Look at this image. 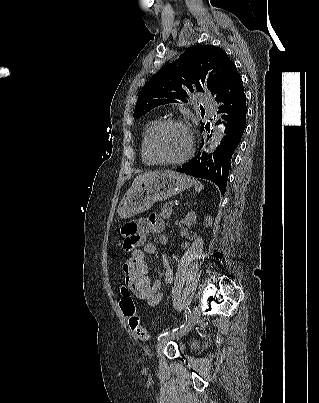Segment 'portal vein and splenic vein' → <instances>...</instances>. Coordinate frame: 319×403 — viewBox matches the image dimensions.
I'll return each instance as SVG.
<instances>
[{"label": "portal vein and splenic vein", "mask_w": 319, "mask_h": 403, "mask_svg": "<svg viewBox=\"0 0 319 403\" xmlns=\"http://www.w3.org/2000/svg\"><path fill=\"white\" fill-rule=\"evenodd\" d=\"M171 206H173V202L171 201L170 203H169Z\"/></svg>", "instance_id": "18ae733b"}]
</instances>
